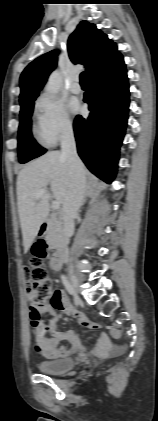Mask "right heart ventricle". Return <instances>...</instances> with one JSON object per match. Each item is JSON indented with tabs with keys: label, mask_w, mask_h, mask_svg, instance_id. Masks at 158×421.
Returning <instances> with one entry per match:
<instances>
[{
	"label": "right heart ventricle",
	"mask_w": 158,
	"mask_h": 421,
	"mask_svg": "<svg viewBox=\"0 0 158 421\" xmlns=\"http://www.w3.org/2000/svg\"><path fill=\"white\" fill-rule=\"evenodd\" d=\"M33 133L35 135V137L37 138V140L42 144V145H49L50 143H48L45 138L43 137L41 130L39 128L38 123L34 126L33 128Z\"/></svg>",
	"instance_id": "right-heart-ventricle-1"
}]
</instances>
